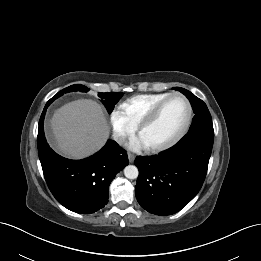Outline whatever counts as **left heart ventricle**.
I'll use <instances>...</instances> for the list:
<instances>
[{
	"label": "left heart ventricle",
	"instance_id": "obj_1",
	"mask_svg": "<svg viewBox=\"0 0 261 261\" xmlns=\"http://www.w3.org/2000/svg\"><path fill=\"white\" fill-rule=\"evenodd\" d=\"M186 116L187 108L183 100L178 97L172 98L139 137L145 146L165 143L178 134L185 123Z\"/></svg>",
	"mask_w": 261,
	"mask_h": 261
}]
</instances>
